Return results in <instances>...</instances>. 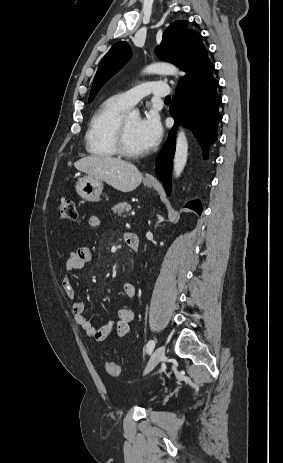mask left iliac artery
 <instances>
[{
	"label": "left iliac artery",
	"mask_w": 283,
	"mask_h": 463,
	"mask_svg": "<svg viewBox=\"0 0 283 463\" xmlns=\"http://www.w3.org/2000/svg\"><path fill=\"white\" fill-rule=\"evenodd\" d=\"M154 347H155V341L150 340L146 345L145 351L150 352V351H152L154 349Z\"/></svg>",
	"instance_id": "44dca946"
}]
</instances>
